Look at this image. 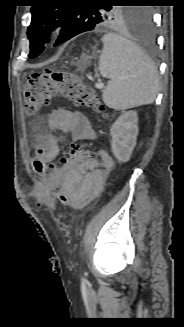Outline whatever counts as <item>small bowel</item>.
<instances>
[{"label":"small bowel","mask_w":184,"mask_h":327,"mask_svg":"<svg viewBox=\"0 0 184 327\" xmlns=\"http://www.w3.org/2000/svg\"><path fill=\"white\" fill-rule=\"evenodd\" d=\"M47 127L50 131L70 132L75 141L97 138L84 114L63 107L51 113ZM93 159V153H60L56 137L51 134L41 136L37 142L33 165H48L46 168L50 171L41 174V179L46 180V183H40V188L28 190L34 199V206H43V199H50L53 190L59 188L68 193L72 201L88 202L96 198L102 192L106 176L114 166V160L106 149L101 148L96 160L89 162L84 169L78 168L85 163L83 160Z\"/></svg>","instance_id":"obj_1"}]
</instances>
